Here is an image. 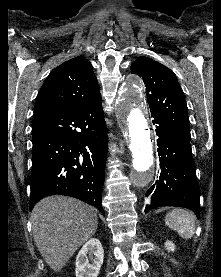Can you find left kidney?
<instances>
[{
    "label": "left kidney",
    "instance_id": "5707ae66",
    "mask_svg": "<svg viewBox=\"0 0 221 277\" xmlns=\"http://www.w3.org/2000/svg\"><path fill=\"white\" fill-rule=\"evenodd\" d=\"M165 247L168 251H172V252L175 251V244L172 241L167 240L165 242Z\"/></svg>",
    "mask_w": 221,
    "mask_h": 277
}]
</instances>
